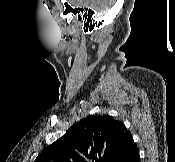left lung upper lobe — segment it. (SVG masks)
Masks as SVG:
<instances>
[{
	"label": "left lung upper lobe",
	"instance_id": "left-lung-upper-lobe-1",
	"mask_svg": "<svg viewBox=\"0 0 175 162\" xmlns=\"http://www.w3.org/2000/svg\"><path fill=\"white\" fill-rule=\"evenodd\" d=\"M126 132L124 124L112 116H88L45 148L35 162H109Z\"/></svg>",
	"mask_w": 175,
	"mask_h": 162
}]
</instances>
